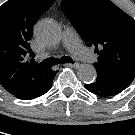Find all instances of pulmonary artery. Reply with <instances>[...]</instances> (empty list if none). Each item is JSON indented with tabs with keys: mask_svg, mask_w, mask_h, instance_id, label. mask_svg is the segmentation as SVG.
I'll use <instances>...</instances> for the list:
<instances>
[{
	"mask_svg": "<svg viewBox=\"0 0 135 135\" xmlns=\"http://www.w3.org/2000/svg\"><path fill=\"white\" fill-rule=\"evenodd\" d=\"M63 41L68 50L78 59L85 60L87 62H93L96 59V55L84 48L76 35L73 28L67 27L64 30Z\"/></svg>",
	"mask_w": 135,
	"mask_h": 135,
	"instance_id": "e3ab8cb5",
	"label": "pulmonary artery"
}]
</instances>
